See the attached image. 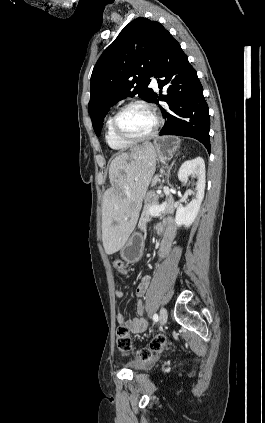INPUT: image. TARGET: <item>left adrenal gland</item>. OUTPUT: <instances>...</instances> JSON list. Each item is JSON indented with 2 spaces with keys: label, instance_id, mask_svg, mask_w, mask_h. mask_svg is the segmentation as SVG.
Segmentation results:
<instances>
[{
  "label": "left adrenal gland",
  "instance_id": "left-adrenal-gland-1",
  "mask_svg": "<svg viewBox=\"0 0 265 423\" xmlns=\"http://www.w3.org/2000/svg\"><path fill=\"white\" fill-rule=\"evenodd\" d=\"M175 161L171 164V167L174 165Z\"/></svg>",
  "mask_w": 265,
  "mask_h": 423
}]
</instances>
